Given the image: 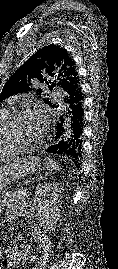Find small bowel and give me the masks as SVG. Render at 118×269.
<instances>
[{"label": "small bowel", "instance_id": "1", "mask_svg": "<svg viewBox=\"0 0 118 269\" xmlns=\"http://www.w3.org/2000/svg\"><path fill=\"white\" fill-rule=\"evenodd\" d=\"M22 200L16 197H12L9 200H5V218L7 221H12L19 211L21 210ZM31 239L41 246L45 247L48 243L47 235L40 229L35 228L29 234ZM30 255V247L27 244H22L17 248H6V246H0V256L3 257L4 268L13 267L22 261H27ZM1 268L0 269H4Z\"/></svg>", "mask_w": 118, "mask_h": 269}]
</instances>
